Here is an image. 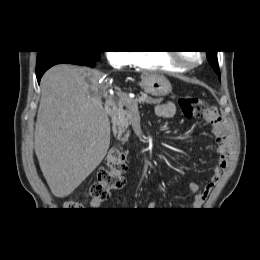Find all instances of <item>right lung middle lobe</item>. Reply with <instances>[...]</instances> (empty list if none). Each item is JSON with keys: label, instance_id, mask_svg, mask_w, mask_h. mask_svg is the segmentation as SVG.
<instances>
[{"label": "right lung middle lobe", "instance_id": "obj_1", "mask_svg": "<svg viewBox=\"0 0 260 260\" xmlns=\"http://www.w3.org/2000/svg\"><path fill=\"white\" fill-rule=\"evenodd\" d=\"M63 56L100 60V51H38L36 69Z\"/></svg>", "mask_w": 260, "mask_h": 260}]
</instances>
